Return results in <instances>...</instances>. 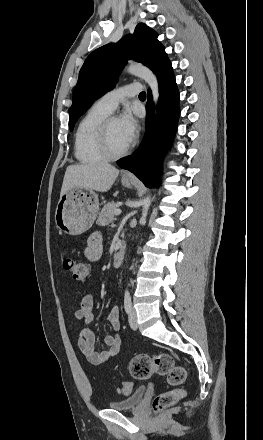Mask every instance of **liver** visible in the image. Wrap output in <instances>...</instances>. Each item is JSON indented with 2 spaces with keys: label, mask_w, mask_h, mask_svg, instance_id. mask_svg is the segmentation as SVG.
Returning <instances> with one entry per match:
<instances>
[{
  "label": "liver",
  "mask_w": 263,
  "mask_h": 440,
  "mask_svg": "<svg viewBox=\"0 0 263 440\" xmlns=\"http://www.w3.org/2000/svg\"><path fill=\"white\" fill-rule=\"evenodd\" d=\"M119 170L109 163H87L67 167L60 196L71 188L107 192L112 187Z\"/></svg>",
  "instance_id": "obj_1"
}]
</instances>
